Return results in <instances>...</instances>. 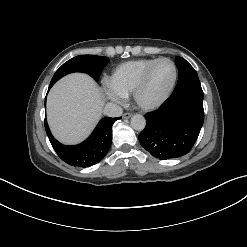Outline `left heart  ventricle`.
Instances as JSON below:
<instances>
[{
	"instance_id": "1",
	"label": "left heart ventricle",
	"mask_w": 247,
	"mask_h": 247,
	"mask_svg": "<svg viewBox=\"0 0 247 247\" xmlns=\"http://www.w3.org/2000/svg\"><path fill=\"white\" fill-rule=\"evenodd\" d=\"M173 78V67L167 61L158 62L151 70L145 86L141 92L144 102L158 100L169 87Z\"/></svg>"
}]
</instances>
